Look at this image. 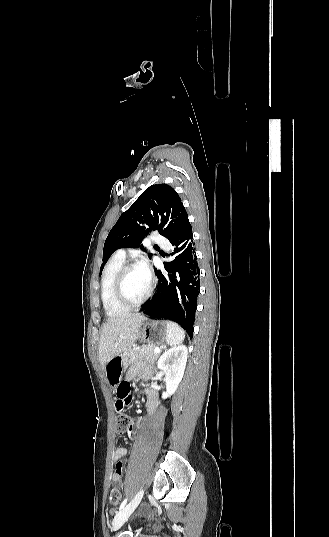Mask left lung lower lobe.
<instances>
[{"mask_svg":"<svg viewBox=\"0 0 329 537\" xmlns=\"http://www.w3.org/2000/svg\"><path fill=\"white\" fill-rule=\"evenodd\" d=\"M170 242L175 259L164 263L166 274L155 270L157 288L153 297L143 304V312L177 322L193 337L200 280L189 221Z\"/></svg>","mask_w":329,"mask_h":537,"instance_id":"0a47b994","label":"left lung lower lobe"}]
</instances>
